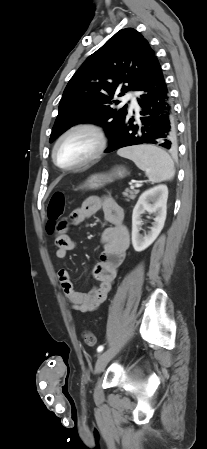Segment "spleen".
<instances>
[{
	"label": "spleen",
	"instance_id": "1",
	"mask_svg": "<svg viewBox=\"0 0 207 449\" xmlns=\"http://www.w3.org/2000/svg\"><path fill=\"white\" fill-rule=\"evenodd\" d=\"M118 155L132 160L145 171L152 183L173 179L174 162L164 150L153 145H137L118 150Z\"/></svg>",
	"mask_w": 207,
	"mask_h": 449
}]
</instances>
